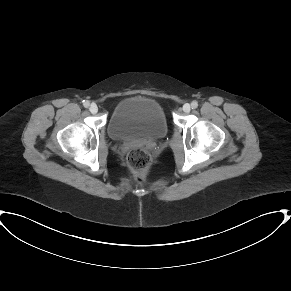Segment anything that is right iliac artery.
Listing matches in <instances>:
<instances>
[{"mask_svg": "<svg viewBox=\"0 0 291 291\" xmlns=\"http://www.w3.org/2000/svg\"><path fill=\"white\" fill-rule=\"evenodd\" d=\"M89 105H90V102L89 101H83V106L85 107V108H88L89 107Z\"/></svg>", "mask_w": 291, "mask_h": 291, "instance_id": "right-iliac-artery-1", "label": "right iliac artery"}]
</instances>
